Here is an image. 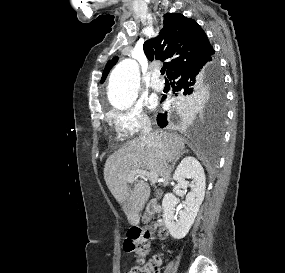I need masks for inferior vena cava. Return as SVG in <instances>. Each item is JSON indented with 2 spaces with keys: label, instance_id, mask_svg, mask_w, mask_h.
I'll use <instances>...</instances> for the list:
<instances>
[{
  "label": "inferior vena cava",
  "instance_id": "602c4592",
  "mask_svg": "<svg viewBox=\"0 0 285 273\" xmlns=\"http://www.w3.org/2000/svg\"><path fill=\"white\" fill-rule=\"evenodd\" d=\"M140 139L144 140V141L151 142L153 146L158 148L159 155L163 156L162 144H161V139H160V133L152 131V127H151V122L150 121H146L143 124L142 130H141V133H140Z\"/></svg>",
  "mask_w": 285,
  "mask_h": 273
}]
</instances>
